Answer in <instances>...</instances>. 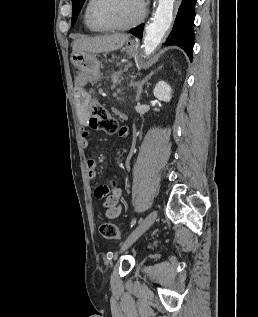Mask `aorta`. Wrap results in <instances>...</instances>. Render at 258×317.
<instances>
[{
    "mask_svg": "<svg viewBox=\"0 0 258 317\" xmlns=\"http://www.w3.org/2000/svg\"><path fill=\"white\" fill-rule=\"evenodd\" d=\"M174 2L175 0H158V6L144 36L143 47L146 55H150L157 48L170 28Z\"/></svg>",
    "mask_w": 258,
    "mask_h": 317,
    "instance_id": "aorta-1",
    "label": "aorta"
}]
</instances>
